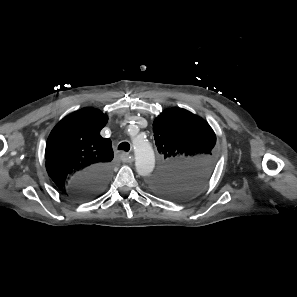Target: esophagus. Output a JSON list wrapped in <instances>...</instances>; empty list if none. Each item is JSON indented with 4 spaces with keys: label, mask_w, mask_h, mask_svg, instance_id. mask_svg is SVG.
I'll return each instance as SVG.
<instances>
[{
    "label": "esophagus",
    "mask_w": 297,
    "mask_h": 297,
    "mask_svg": "<svg viewBox=\"0 0 297 297\" xmlns=\"http://www.w3.org/2000/svg\"><path fill=\"white\" fill-rule=\"evenodd\" d=\"M120 158L125 163H131L134 160L132 156L125 152L121 153Z\"/></svg>",
    "instance_id": "obj_1"
}]
</instances>
